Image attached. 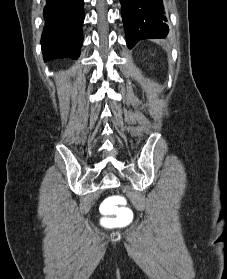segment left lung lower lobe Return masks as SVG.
I'll return each instance as SVG.
<instances>
[{
  "mask_svg": "<svg viewBox=\"0 0 227 279\" xmlns=\"http://www.w3.org/2000/svg\"><path fill=\"white\" fill-rule=\"evenodd\" d=\"M120 3L129 48L142 39L167 36L169 28L162 0H120Z\"/></svg>",
  "mask_w": 227,
  "mask_h": 279,
  "instance_id": "0a47b994",
  "label": "left lung lower lobe"
}]
</instances>
